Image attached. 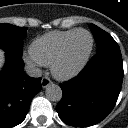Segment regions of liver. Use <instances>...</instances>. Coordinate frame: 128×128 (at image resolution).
Here are the masks:
<instances>
[{
    "label": "liver",
    "instance_id": "obj_1",
    "mask_svg": "<svg viewBox=\"0 0 128 128\" xmlns=\"http://www.w3.org/2000/svg\"><path fill=\"white\" fill-rule=\"evenodd\" d=\"M4 63V52L0 50V69L2 68Z\"/></svg>",
    "mask_w": 128,
    "mask_h": 128
}]
</instances>
